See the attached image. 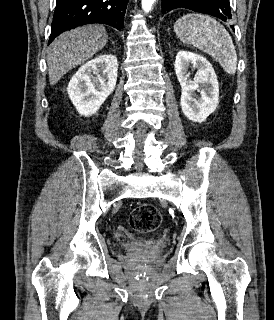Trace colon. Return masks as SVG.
<instances>
[{
  "mask_svg": "<svg viewBox=\"0 0 274 320\" xmlns=\"http://www.w3.org/2000/svg\"><path fill=\"white\" fill-rule=\"evenodd\" d=\"M161 222L160 211L148 202L136 205L130 215V225L137 233H151Z\"/></svg>",
  "mask_w": 274,
  "mask_h": 320,
  "instance_id": "1",
  "label": "colon"
}]
</instances>
